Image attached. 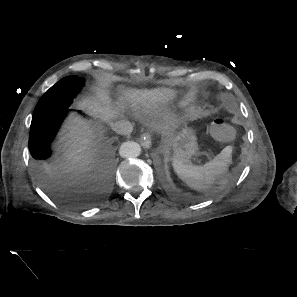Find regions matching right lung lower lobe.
Returning <instances> with one entry per match:
<instances>
[{"label":"right lung lower lobe","instance_id":"98d812e1","mask_svg":"<svg viewBox=\"0 0 297 297\" xmlns=\"http://www.w3.org/2000/svg\"><path fill=\"white\" fill-rule=\"evenodd\" d=\"M73 98L72 96L67 101L57 105L46 117L32 120L29 150L34 159L35 169L38 172L44 171L48 167V162L52 157L51 145L62 122L71 111L69 107L73 102Z\"/></svg>","mask_w":297,"mask_h":297}]
</instances>
